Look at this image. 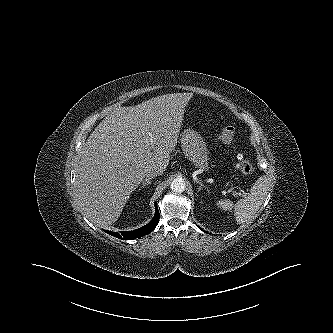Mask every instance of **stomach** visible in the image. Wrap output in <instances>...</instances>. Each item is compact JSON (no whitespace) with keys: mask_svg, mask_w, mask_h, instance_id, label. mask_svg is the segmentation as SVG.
<instances>
[{"mask_svg":"<svg viewBox=\"0 0 333 333\" xmlns=\"http://www.w3.org/2000/svg\"><path fill=\"white\" fill-rule=\"evenodd\" d=\"M181 147L190 162L201 170H208V150L203 137L191 128L180 134Z\"/></svg>","mask_w":333,"mask_h":333,"instance_id":"obj_1","label":"stomach"}]
</instances>
